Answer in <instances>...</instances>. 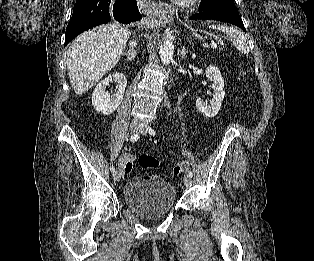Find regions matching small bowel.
I'll return each instance as SVG.
<instances>
[{"label":"small bowel","instance_id":"obj_1","mask_svg":"<svg viewBox=\"0 0 314 261\" xmlns=\"http://www.w3.org/2000/svg\"><path fill=\"white\" fill-rule=\"evenodd\" d=\"M135 160V156L132 154H125L120 161L121 169L124 173H129L132 170V164Z\"/></svg>","mask_w":314,"mask_h":261}]
</instances>
